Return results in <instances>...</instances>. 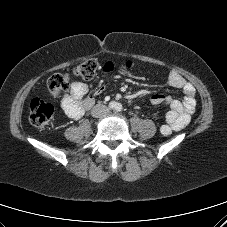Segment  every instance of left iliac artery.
Instances as JSON below:
<instances>
[{
    "mask_svg": "<svg viewBox=\"0 0 227 227\" xmlns=\"http://www.w3.org/2000/svg\"><path fill=\"white\" fill-rule=\"evenodd\" d=\"M122 109H123L122 105H121L120 103H118V104L116 105L115 110H116L117 112H121Z\"/></svg>",
    "mask_w": 227,
    "mask_h": 227,
    "instance_id": "obj_1",
    "label": "left iliac artery"
}]
</instances>
